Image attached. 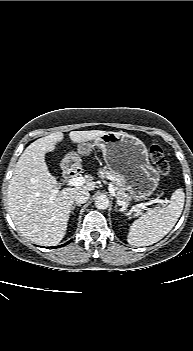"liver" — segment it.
Returning a JSON list of instances; mask_svg holds the SVG:
<instances>
[{
  "label": "liver",
  "mask_w": 193,
  "mask_h": 351,
  "mask_svg": "<svg viewBox=\"0 0 193 351\" xmlns=\"http://www.w3.org/2000/svg\"><path fill=\"white\" fill-rule=\"evenodd\" d=\"M106 131H71L73 143H85L103 136ZM63 133H51L31 143L15 166L7 192L9 214L18 231L32 242L57 245L64 237L74 198L80 190L92 191L94 182L59 191L56 178L45 162V154L55 150ZM58 190L55 197L53 191Z\"/></svg>",
  "instance_id": "6515ba94"
}]
</instances>
